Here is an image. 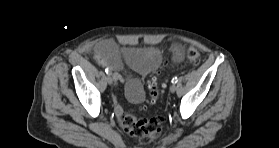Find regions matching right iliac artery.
<instances>
[{"mask_svg":"<svg viewBox=\"0 0 279 148\" xmlns=\"http://www.w3.org/2000/svg\"><path fill=\"white\" fill-rule=\"evenodd\" d=\"M105 72H106V74H108V75H110V74H111V71H109V69H108V68L105 70Z\"/></svg>","mask_w":279,"mask_h":148,"instance_id":"obj_1","label":"right iliac artery"}]
</instances>
